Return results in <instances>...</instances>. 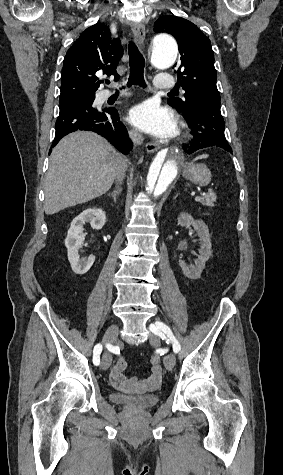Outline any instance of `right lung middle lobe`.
Wrapping results in <instances>:
<instances>
[{
    "mask_svg": "<svg viewBox=\"0 0 283 475\" xmlns=\"http://www.w3.org/2000/svg\"><path fill=\"white\" fill-rule=\"evenodd\" d=\"M94 99L95 93L93 92L76 89H61L59 103L62 105L72 101H93Z\"/></svg>",
    "mask_w": 283,
    "mask_h": 475,
    "instance_id": "1",
    "label": "right lung middle lobe"
}]
</instances>
